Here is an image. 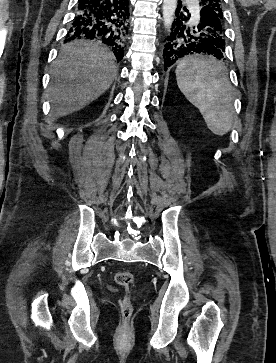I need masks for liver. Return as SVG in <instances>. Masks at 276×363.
<instances>
[{
    "instance_id": "liver-1",
    "label": "liver",
    "mask_w": 276,
    "mask_h": 363,
    "mask_svg": "<svg viewBox=\"0 0 276 363\" xmlns=\"http://www.w3.org/2000/svg\"><path fill=\"white\" fill-rule=\"evenodd\" d=\"M116 73L114 55L100 43L75 40L63 46L53 63L48 88L52 116H66L97 99Z\"/></svg>"
}]
</instances>
